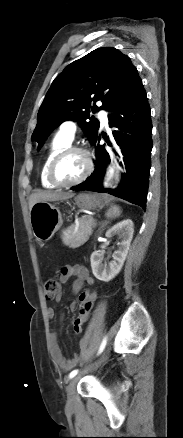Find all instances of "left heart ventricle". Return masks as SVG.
<instances>
[{"label": "left heart ventricle", "instance_id": "1", "mask_svg": "<svg viewBox=\"0 0 183 438\" xmlns=\"http://www.w3.org/2000/svg\"><path fill=\"white\" fill-rule=\"evenodd\" d=\"M84 169V156L80 153H71L59 161L55 169V178L60 182L69 183L79 178Z\"/></svg>", "mask_w": 183, "mask_h": 438}]
</instances>
